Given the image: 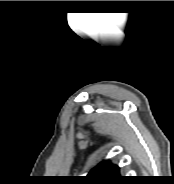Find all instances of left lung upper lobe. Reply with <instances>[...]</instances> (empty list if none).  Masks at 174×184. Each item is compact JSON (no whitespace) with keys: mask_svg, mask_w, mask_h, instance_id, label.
Masks as SVG:
<instances>
[{"mask_svg":"<svg viewBox=\"0 0 174 184\" xmlns=\"http://www.w3.org/2000/svg\"><path fill=\"white\" fill-rule=\"evenodd\" d=\"M124 179L119 175V168L109 161L100 163L83 178L87 184H117Z\"/></svg>","mask_w":174,"mask_h":184,"instance_id":"left-lung-upper-lobe-1","label":"left lung upper lobe"}]
</instances>
